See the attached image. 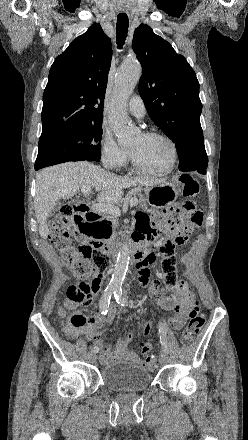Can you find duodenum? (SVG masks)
<instances>
[{"instance_id": "410a0bca", "label": "duodenum", "mask_w": 248, "mask_h": 440, "mask_svg": "<svg viewBox=\"0 0 248 440\" xmlns=\"http://www.w3.org/2000/svg\"><path fill=\"white\" fill-rule=\"evenodd\" d=\"M80 209L83 212L84 216V227L89 228L90 230L93 228V224L95 223V219L98 216L94 213L89 212V208L87 204H81ZM95 243L100 246L103 252L108 256H116L119 252L118 246H113L110 243L105 244L104 241H95ZM130 253L132 258L137 264L138 268L144 266L143 260L147 257V248L143 244V239L140 236L134 235L130 242Z\"/></svg>"}]
</instances>
